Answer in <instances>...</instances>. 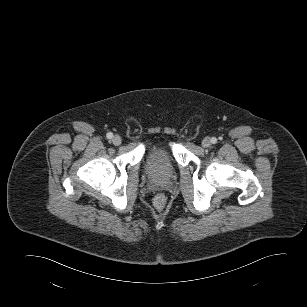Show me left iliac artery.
I'll return each mask as SVG.
<instances>
[{
    "mask_svg": "<svg viewBox=\"0 0 307 307\" xmlns=\"http://www.w3.org/2000/svg\"><path fill=\"white\" fill-rule=\"evenodd\" d=\"M216 142H217V139L213 137V138L211 139V143H212V144H215Z\"/></svg>",
    "mask_w": 307,
    "mask_h": 307,
    "instance_id": "1",
    "label": "left iliac artery"
}]
</instances>
